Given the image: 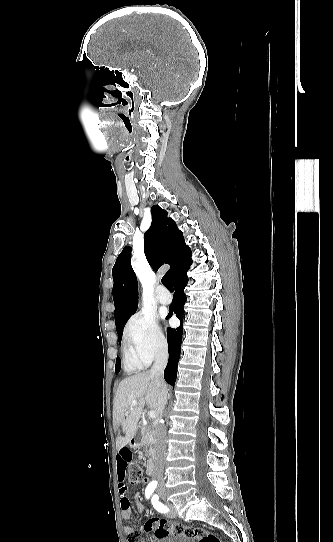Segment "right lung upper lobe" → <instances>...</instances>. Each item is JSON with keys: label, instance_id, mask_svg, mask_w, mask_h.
Here are the masks:
<instances>
[{"label": "right lung upper lobe", "instance_id": "cb5924a9", "mask_svg": "<svg viewBox=\"0 0 333 542\" xmlns=\"http://www.w3.org/2000/svg\"><path fill=\"white\" fill-rule=\"evenodd\" d=\"M152 224L144 234V253L154 271L167 263L171 273L173 262L186 245L183 233L167 212L159 206L152 207ZM131 247H125L113 267V300L115 322L118 324L138 307V284L131 266Z\"/></svg>", "mask_w": 333, "mask_h": 542}]
</instances>
